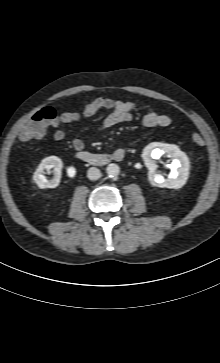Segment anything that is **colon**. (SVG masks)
Instances as JSON below:
<instances>
[{
  "mask_svg": "<svg viewBox=\"0 0 220 363\" xmlns=\"http://www.w3.org/2000/svg\"><path fill=\"white\" fill-rule=\"evenodd\" d=\"M57 111L52 106H46L37 110L20 130V138L23 141L34 140L42 137L48 126L57 119ZM192 141L198 146L204 145V138L200 134H193Z\"/></svg>",
  "mask_w": 220,
  "mask_h": 363,
  "instance_id": "1",
  "label": "colon"
}]
</instances>
